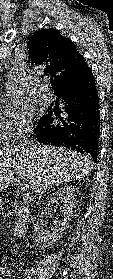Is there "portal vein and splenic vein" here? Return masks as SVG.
I'll list each match as a JSON object with an SVG mask.
<instances>
[{"mask_svg": "<svg viewBox=\"0 0 113 279\" xmlns=\"http://www.w3.org/2000/svg\"><path fill=\"white\" fill-rule=\"evenodd\" d=\"M30 186L28 184H21V189H27L29 188Z\"/></svg>", "mask_w": 113, "mask_h": 279, "instance_id": "portal-vein-and-splenic-vein-1", "label": "portal vein and splenic vein"}]
</instances>
